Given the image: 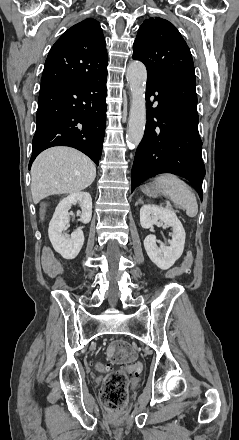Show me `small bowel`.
<instances>
[{
    "mask_svg": "<svg viewBox=\"0 0 239 440\" xmlns=\"http://www.w3.org/2000/svg\"><path fill=\"white\" fill-rule=\"evenodd\" d=\"M42 266L46 274L52 278L59 276L63 272L60 261L54 256L49 248H45L42 253Z\"/></svg>",
    "mask_w": 239,
    "mask_h": 440,
    "instance_id": "small-bowel-1",
    "label": "small bowel"
}]
</instances>
